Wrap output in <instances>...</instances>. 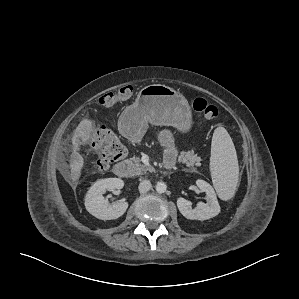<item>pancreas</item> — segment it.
<instances>
[{"instance_id":"cf45deb5","label":"pancreas","mask_w":299,"mask_h":299,"mask_svg":"<svg viewBox=\"0 0 299 299\" xmlns=\"http://www.w3.org/2000/svg\"><path fill=\"white\" fill-rule=\"evenodd\" d=\"M201 157L197 156L194 152H181L178 157V162L186 164L190 168L191 172H196V167L201 166ZM129 165L132 167V172L134 175H142L147 171H152L151 168L146 167V165L141 164V160L138 157L130 158L128 161Z\"/></svg>"}]
</instances>
